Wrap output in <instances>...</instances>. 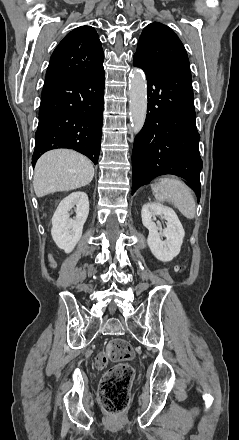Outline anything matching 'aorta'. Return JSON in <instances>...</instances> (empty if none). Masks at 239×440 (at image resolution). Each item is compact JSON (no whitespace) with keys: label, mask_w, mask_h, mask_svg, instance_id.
Segmentation results:
<instances>
[{"label":"aorta","mask_w":239,"mask_h":440,"mask_svg":"<svg viewBox=\"0 0 239 440\" xmlns=\"http://www.w3.org/2000/svg\"><path fill=\"white\" fill-rule=\"evenodd\" d=\"M130 80L129 110L135 134L142 130L147 112V84L138 68H133Z\"/></svg>","instance_id":"762f6f07"}]
</instances>
